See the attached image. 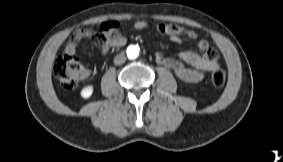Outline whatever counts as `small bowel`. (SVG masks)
I'll list each match as a JSON object with an SVG mask.
<instances>
[{
  "label": "small bowel",
  "instance_id": "obj_1",
  "mask_svg": "<svg viewBox=\"0 0 283 162\" xmlns=\"http://www.w3.org/2000/svg\"><path fill=\"white\" fill-rule=\"evenodd\" d=\"M133 27L136 30H144L148 28V23L144 20H138L133 24ZM155 29L158 33L167 36L175 43H181L184 37L197 42V47L202 54L192 51H182L178 53V59L166 57L162 53H157L155 56L158 64L173 71L181 81L188 83L200 82L203 80L206 72L218 66L217 51L210 48L208 41L200 38L195 31L166 23H158ZM86 38L93 39L99 44L104 55L112 48L123 46L127 42V38L118 31V23L107 21L102 23L98 33L90 29L76 30L65 45V54L74 55L78 43Z\"/></svg>",
  "mask_w": 283,
  "mask_h": 162
}]
</instances>
